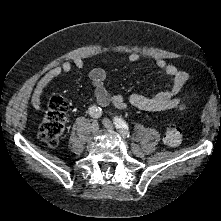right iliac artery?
Masks as SVG:
<instances>
[{
	"mask_svg": "<svg viewBox=\"0 0 221 221\" xmlns=\"http://www.w3.org/2000/svg\"><path fill=\"white\" fill-rule=\"evenodd\" d=\"M89 114L94 118H100L102 115V110L100 107L93 105L89 107Z\"/></svg>",
	"mask_w": 221,
	"mask_h": 221,
	"instance_id": "82829eb1",
	"label": "right iliac artery"
}]
</instances>
